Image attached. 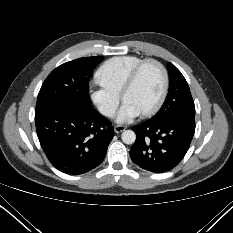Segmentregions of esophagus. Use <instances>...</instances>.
<instances>
[{
	"label": "esophagus",
	"mask_w": 233,
	"mask_h": 233,
	"mask_svg": "<svg viewBox=\"0 0 233 233\" xmlns=\"http://www.w3.org/2000/svg\"><path fill=\"white\" fill-rule=\"evenodd\" d=\"M124 130H125V127L122 126V125H117V126L114 127V131H115L116 133H121V132L124 131Z\"/></svg>",
	"instance_id": "1"
}]
</instances>
